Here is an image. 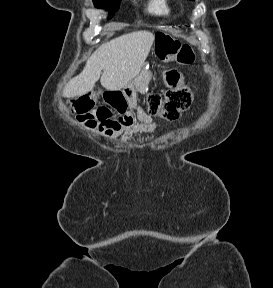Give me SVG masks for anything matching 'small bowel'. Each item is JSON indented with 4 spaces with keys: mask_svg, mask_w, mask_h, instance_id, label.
I'll use <instances>...</instances> for the list:
<instances>
[{
    "mask_svg": "<svg viewBox=\"0 0 273 288\" xmlns=\"http://www.w3.org/2000/svg\"><path fill=\"white\" fill-rule=\"evenodd\" d=\"M157 127V124L153 119L144 111L139 110L137 113V121L128 127H122L120 129H108L100 128L107 137L121 136L123 142H127L133 135L139 132L150 133Z\"/></svg>",
    "mask_w": 273,
    "mask_h": 288,
    "instance_id": "c3829d8e",
    "label": "small bowel"
}]
</instances>
